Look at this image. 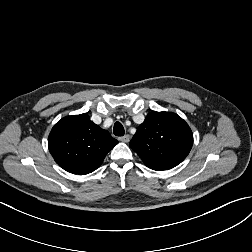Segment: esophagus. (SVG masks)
I'll return each instance as SVG.
<instances>
[{
	"label": "esophagus",
	"mask_w": 252,
	"mask_h": 252,
	"mask_svg": "<svg viewBox=\"0 0 252 252\" xmlns=\"http://www.w3.org/2000/svg\"><path fill=\"white\" fill-rule=\"evenodd\" d=\"M119 140L121 142H125V143H128L130 141V136L127 134V135H124L122 137L119 138Z\"/></svg>",
	"instance_id": "34e87169"
}]
</instances>
